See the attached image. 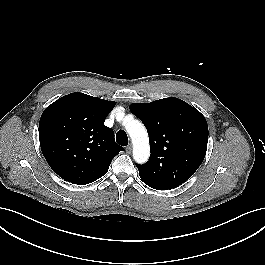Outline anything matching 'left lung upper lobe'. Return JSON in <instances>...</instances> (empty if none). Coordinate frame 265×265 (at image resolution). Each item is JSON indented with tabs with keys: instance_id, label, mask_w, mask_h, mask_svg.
<instances>
[{
	"instance_id": "5c2ea615",
	"label": "left lung upper lobe",
	"mask_w": 265,
	"mask_h": 265,
	"mask_svg": "<svg viewBox=\"0 0 265 265\" xmlns=\"http://www.w3.org/2000/svg\"><path fill=\"white\" fill-rule=\"evenodd\" d=\"M130 110L148 129L151 156L136 164L148 186L167 190L188 180L201 165L207 150L208 126L205 117L178 98L133 103Z\"/></svg>"
}]
</instances>
